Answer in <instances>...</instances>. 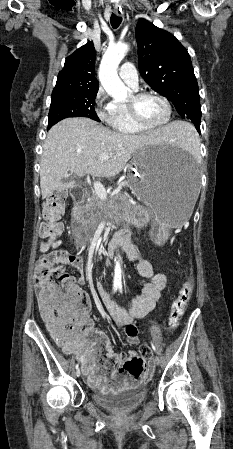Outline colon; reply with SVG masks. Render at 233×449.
<instances>
[{"mask_svg":"<svg viewBox=\"0 0 233 449\" xmlns=\"http://www.w3.org/2000/svg\"><path fill=\"white\" fill-rule=\"evenodd\" d=\"M66 200L65 193L49 196L45 203V223L41 234L45 240L46 255L39 258L35 281L39 292V308L43 318L48 323L55 342L65 343L68 339L91 333L87 344H98L100 337L91 332V319L88 315L89 300L87 295L74 285L72 278L60 269L52 268L54 248L61 231L59 221ZM193 278L189 274L184 281L177 298L173 301L168 315V328L174 331L191 300L193 293ZM151 355V349L142 343L136 354H130L118 366V374L141 375L145 367V359Z\"/></svg>","mask_w":233,"mask_h":449,"instance_id":"colon-1","label":"colon"}]
</instances>
